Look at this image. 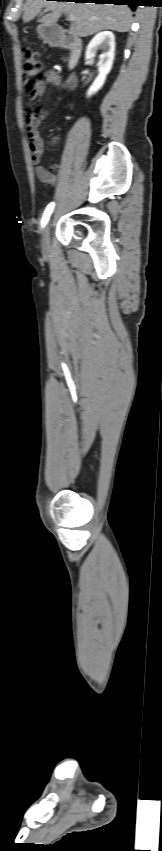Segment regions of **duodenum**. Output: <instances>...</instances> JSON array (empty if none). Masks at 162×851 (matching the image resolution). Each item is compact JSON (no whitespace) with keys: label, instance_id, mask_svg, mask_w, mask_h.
I'll return each instance as SVG.
<instances>
[{"label":"duodenum","instance_id":"duodenum-1","mask_svg":"<svg viewBox=\"0 0 162 851\" xmlns=\"http://www.w3.org/2000/svg\"><path fill=\"white\" fill-rule=\"evenodd\" d=\"M48 39L51 45L69 50L70 66L77 64L82 52V43L78 37L62 29H52Z\"/></svg>","mask_w":162,"mask_h":851}]
</instances>
